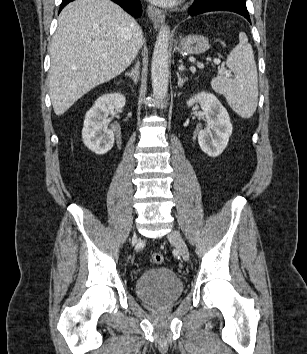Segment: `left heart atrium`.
Returning <instances> with one entry per match:
<instances>
[{"instance_id":"left-heart-atrium-1","label":"left heart atrium","mask_w":307,"mask_h":354,"mask_svg":"<svg viewBox=\"0 0 307 354\" xmlns=\"http://www.w3.org/2000/svg\"><path fill=\"white\" fill-rule=\"evenodd\" d=\"M151 1L160 5H168L175 2V0H151Z\"/></svg>"}]
</instances>
